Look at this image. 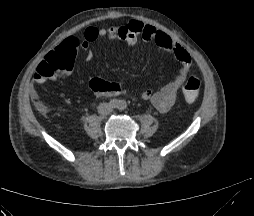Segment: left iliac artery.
Listing matches in <instances>:
<instances>
[{
	"label": "left iliac artery",
	"instance_id": "1",
	"mask_svg": "<svg viewBox=\"0 0 254 216\" xmlns=\"http://www.w3.org/2000/svg\"><path fill=\"white\" fill-rule=\"evenodd\" d=\"M126 107H127V104H126L125 101H120V102H119V104H118L119 110H121V111H122V110H125Z\"/></svg>",
	"mask_w": 254,
	"mask_h": 216
}]
</instances>
